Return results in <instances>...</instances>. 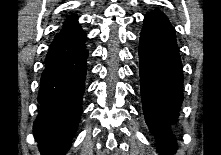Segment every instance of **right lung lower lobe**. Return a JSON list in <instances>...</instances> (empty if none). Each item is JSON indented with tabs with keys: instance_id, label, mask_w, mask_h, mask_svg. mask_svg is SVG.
Instances as JSON below:
<instances>
[{
	"instance_id": "obj_1",
	"label": "right lung lower lobe",
	"mask_w": 221,
	"mask_h": 155,
	"mask_svg": "<svg viewBox=\"0 0 221 155\" xmlns=\"http://www.w3.org/2000/svg\"><path fill=\"white\" fill-rule=\"evenodd\" d=\"M87 35L78 23L64 26L45 59L33 133L42 155H64L71 146L85 88Z\"/></svg>"
}]
</instances>
